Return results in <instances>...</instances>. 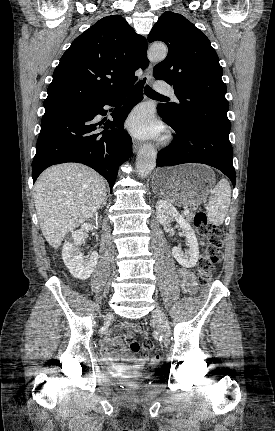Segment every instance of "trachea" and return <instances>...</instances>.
I'll return each instance as SVG.
<instances>
[{
  "instance_id": "trachea-1",
  "label": "trachea",
  "mask_w": 275,
  "mask_h": 431,
  "mask_svg": "<svg viewBox=\"0 0 275 431\" xmlns=\"http://www.w3.org/2000/svg\"><path fill=\"white\" fill-rule=\"evenodd\" d=\"M144 93L147 95V96H152V97H160V98H167V97H165V96H163V95H160L159 93H156L154 90H152V88L151 87H149L148 85H146L145 87H144Z\"/></svg>"
}]
</instances>
